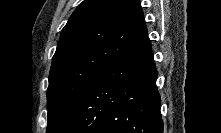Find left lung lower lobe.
<instances>
[{"instance_id":"obj_1","label":"left lung lower lobe","mask_w":221,"mask_h":133,"mask_svg":"<svg viewBox=\"0 0 221 133\" xmlns=\"http://www.w3.org/2000/svg\"><path fill=\"white\" fill-rule=\"evenodd\" d=\"M156 79L146 35L93 80L56 133H163Z\"/></svg>"}]
</instances>
